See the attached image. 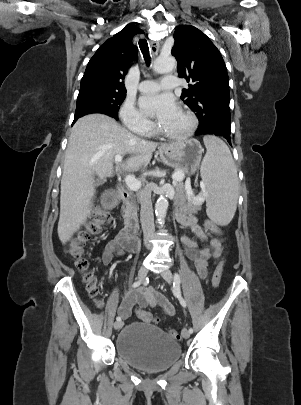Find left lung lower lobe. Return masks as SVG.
<instances>
[{"instance_id": "1", "label": "left lung lower lobe", "mask_w": 301, "mask_h": 405, "mask_svg": "<svg viewBox=\"0 0 301 405\" xmlns=\"http://www.w3.org/2000/svg\"><path fill=\"white\" fill-rule=\"evenodd\" d=\"M195 135H216L222 136L231 145V130L230 127L220 125V124H212L206 127H198V130L195 132Z\"/></svg>"}]
</instances>
